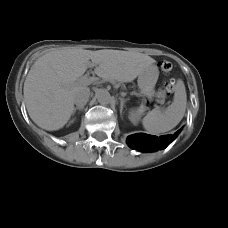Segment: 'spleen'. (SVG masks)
Masks as SVG:
<instances>
[{
	"label": "spleen",
	"instance_id": "1",
	"mask_svg": "<svg viewBox=\"0 0 228 228\" xmlns=\"http://www.w3.org/2000/svg\"><path fill=\"white\" fill-rule=\"evenodd\" d=\"M186 105V89L184 83L178 81L171 105L166 110L159 107L151 110L142 120L144 128L154 135L172 130L184 117Z\"/></svg>",
	"mask_w": 228,
	"mask_h": 228
}]
</instances>
